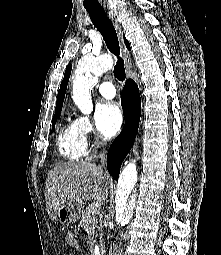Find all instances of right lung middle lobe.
I'll return each mask as SVG.
<instances>
[{"instance_id":"dd1d6c3e","label":"right lung middle lobe","mask_w":221,"mask_h":255,"mask_svg":"<svg viewBox=\"0 0 221 255\" xmlns=\"http://www.w3.org/2000/svg\"><path fill=\"white\" fill-rule=\"evenodd\" d=\"M60 112L61 111L55 112V116L53 117V120H52V128H54L57 117L60 115Z\"/></svg>"}]
</instances>
